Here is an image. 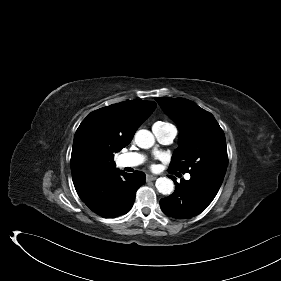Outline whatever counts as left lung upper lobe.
Masks as SVG:
<instances>
[{"label": "left lung upper lobe", "instance_id": "1", "mask_svg": "<svg viewBox=\"0 0 281 281\" xmlns=\"http://www.w3.org/2000/svg\"><path fill=\"white\" fill-rule=\"evenodd\" d=\"M180 129L179 147L169 171L225 176L228 156L225 135L214 116L184 98H155Z\"/></svg>", "mask_w": 281, "mask_h": 281}]
</instances>
